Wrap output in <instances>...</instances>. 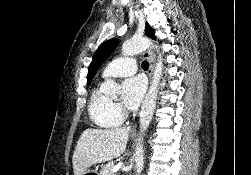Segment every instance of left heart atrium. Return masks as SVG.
Masks as SVG:
<instances>
[{"instance_id": "1", "label": "left heart atrium", "mask_w": 251, "mask_h": 175, "mask_svg": "<svg viewBox=\"0 0 251 175\" xmlns=\"http://www.w3.org/2000/svg\"><path fill=\"white\" fill-rule=\"evenodd\" d=\"M145 83L141 76H131L122 85V101L129 110H136L145 94Z\"/></svg>"}]
</instances>
